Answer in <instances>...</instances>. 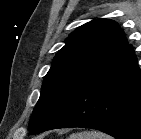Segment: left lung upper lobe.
Listing matches in <instances>:
<instances>
[{
  "mask_svg": "<svg viewBox=\"0 0 141 139\" xmlns=\"http://www.w3.org/2000/svg\"><path fill=\"white\" fill-rule=\"evenodd\" d=\"M127 45L124 32L108 19L92 20L71 33L44 78L29 122L31 133L38 134L69 96Z\"/></svg>",
  "mask_w": 141,
  "mask_h": 139,
  "instance_id": "5c2ea615",
  "label": "left lung upper lobe"
}]
</instances>
